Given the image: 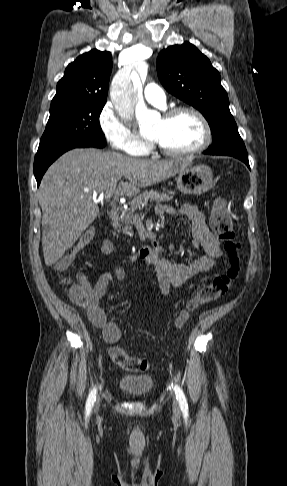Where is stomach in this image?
<instances>
[{"instance_id":"0dacf381","label":"stomach","mask_w":287,"mask_h":486,"mask_svg":"<svg viewBox=\"0 0 287 486\" xmlns=\"http://www.w3.org/2000/svg\"><path fill=\"white\" fill-rule=\"evenodd\" d=\"M177 188L183 194L200 195L215 186L216 180L210 167L192 158L176 177Z\"/></svg>"}]
</instances>
